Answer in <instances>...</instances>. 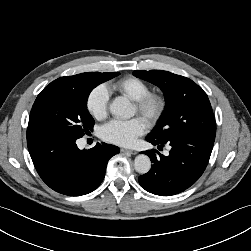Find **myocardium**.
Wrapping results in <instances>:
<instances>
[{
	"instance_id": "1",
	"label": "myocardium",
	"mask_w": 251,
	"mask_h": 251,
	"mask_svg": "<svg viewBox=\"0 0 251 251\" xmlns=\"http://www.w3.org/2000/svg\"><path fill=\"white\" fill-rule=\"evenodd\" d=\"M137 112L151 125L158 123L165 114L167 101L162 94L149 92L135 101Z\"/></svg>"
}]
</instances>
